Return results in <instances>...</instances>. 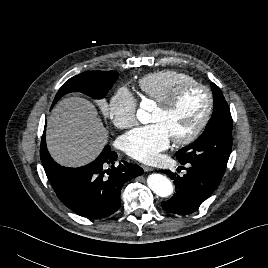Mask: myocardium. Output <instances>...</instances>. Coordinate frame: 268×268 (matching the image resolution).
Instances as JSON below:
<instances>
[{"instance_id": "myocardium-1", "label": "myocardium", "mask_w": 268, "mask_h": 268, "mask_svg": "<svg viewBox=\"0 0 268 268\" xmlns=\"http://www.w3.org/2000/svg\"><path fill=\"white\" fill-rule=\"evenodd\" d=\"M194 88H199L205 91L207 95V106L201 120L189 134L180 138H172V141L179 146L187 145L195 141L208 124L214 107V97L212 90L208 86L198 82L186 83L180 86L166 102L158 104V108L163 113H170L177 106L183 94L186 93L188 90Z\"/></svg>"}]
</instances>
